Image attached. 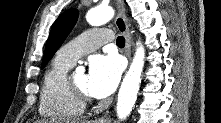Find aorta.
<instances>
[{
	"mask_svg": "<svg viewBox=\"0 0 221 123\" xmlns=\"http://www.w3.org/2000/svg\"><path fill=\"white\" fill-rule=\"evenodd\" d=\"M114 11L108 6H99L90 9L86 15L87 22L92 26H99L109 22ZM137 49L129 70L122 81L117 101V116L123 120L129 116L137 100L141 82V73L144 66L145 52L141 43H137Z\"/></svg>",
	"mask_w": 221,
	"mask_h": 123,
	"instance_id": "762f6f07",
	"label": "aorta"
}]
</instances>
